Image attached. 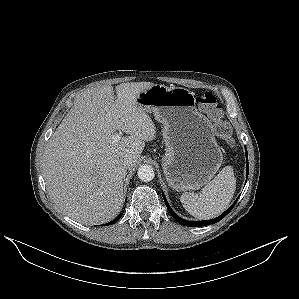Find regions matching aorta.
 Listing matches in <instances>:
<instances>
[{"instance_id":"aorta-1","label":"aorta","mask_w":299,"mask_h":299,"mask_svg":"<svg viewBox=\"0 0 299 299\" xmlns=\"http://www.w3.org/2000/svg\"><path fill=\"white\" fill-rule=\"evenodd\" d=\"M138 178L143 182H149L155 177L154 170L152 166L144 164L138 168L137 171Z\"/></svg>"}]
</instances>
